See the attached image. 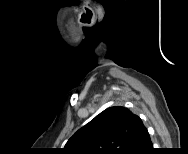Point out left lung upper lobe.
Segmentation results:
<instances>
[{
	"instance_id": "obj_1",
	"label": "left lung upper lobe",
	"mask_w": 188,
	"mask_h": 154,
	"mask_svg": "<svg viewBox=\"0 0 188 154\" xmlns=\"http://www.w3.org/2000/svg\"><path fill=\"white\" fill-rule=\"evenodd\" d=\"M135 116L125 107H109L79 129L64 150L72 154H127Z\"/></svg>"
}]
</instances>
